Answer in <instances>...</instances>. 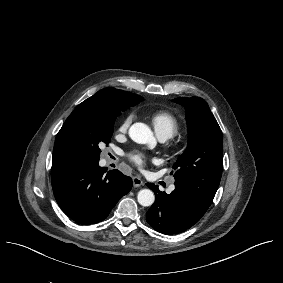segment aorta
I'll list each match as a JSON object with an SVG mask.
<instances>
[{
    "instance_id": "762f6f07",
    "label": "aorta",
    "mask_w": 283,
    "mask_h": 283,
    "mask_svg": "<svg viewBox=\"0 0 283 283\" xmlns=\"http://www.w3.org/2000/svg\"><path fill=\"white\" fill-rule=\"evenodd\" d=\"M130 138L139 144H151L155 143L153 132L144 123H134L129 129ZM138 203L142 206H151L155 201V196L152 190L142 189L137 195Z\"/></svg>"
}]
</instances>
